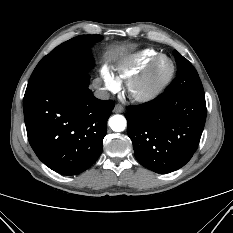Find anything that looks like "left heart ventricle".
Instances as JSON below:
<instances>
[{"mask_svg":"<svg viewBox=\"0 0 233 233\" xmlns=\"http://www.w3.org/2000/svg\"><path fill=\"white\" fill-rule=\"evenodd\" d=\"M169 71H170L169 61L166 59L161 60L153 73L152 81H158L162 79L168 74Z\"/></svg>","mask_w":233,"mask_h":233,"instance_id":"b2bd125f","label":"left heart ventricle"}]
</instances>
